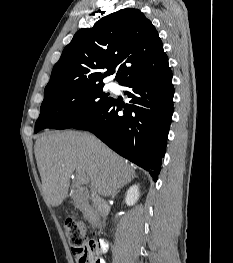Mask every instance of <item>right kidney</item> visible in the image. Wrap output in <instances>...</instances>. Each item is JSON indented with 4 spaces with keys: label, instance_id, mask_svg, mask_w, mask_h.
Instances as JSON below:
<instances>
[{
    "label": "right kidney",
    "instance_id": "right-kidney-1",
    "mask_svg": "<svg viewBox=\"0 0 233 263\" xmlns=\"http://www.w3.org/2000/svg\"><path fill=\"white\" fill-rule=\"evenodd\" d=\"M139 196L140 193H139L138 185H133L128 189L126 193L125 203L127 204V206H132L137 202Z\"/></svg>",
    "mask_w": 233,
    "mask_h": 263
}]
</instances>
